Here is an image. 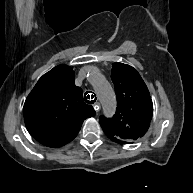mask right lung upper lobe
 Instances as JSON below:
<instances>
[{
  "mask_svg": "<svg viewBox=\"0 0 193 193\" xmlns=\"http://www.w3.org/2000/svg\"><path fill=\"white\" fill-rule=\"evenodd\" d=\"M71 67L59 65L43 75L24 104L28 132L41 144L60 147L72 141L83 121L95 111L83 101V92L74 84Z\"/></svg>",
  "mask_w": 193,
  "mask_h": 193,
  "instance_id": "1",
  "label": "right lung upper lobe"
}]
</instances>
